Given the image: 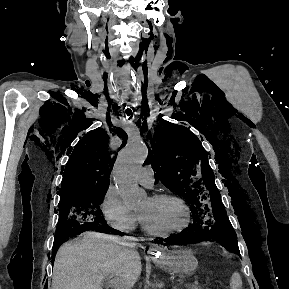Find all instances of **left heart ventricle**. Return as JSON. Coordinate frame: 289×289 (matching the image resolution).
Returning a JSON list of instances; mask_svg holds the SVG:
<instances>
[{
  "label": "left heart ventricle",
  "mask_w": 289,
  "mask_h": 289,
  "mask_svg": "<svg viewBox=\"0 0 289 289\" xmlns=\"http://www.w3.org/2000/svg\"><path fill=\"white\" fill-rule=\"evenodd\" d=\"M138 213L155 230L166 232L182 227L186 222L184 209L174 200H152L148 197L140 205Z\"/></svg>",
  "instance_id": "left-heart-ventricle-1"
}]
</instances>
